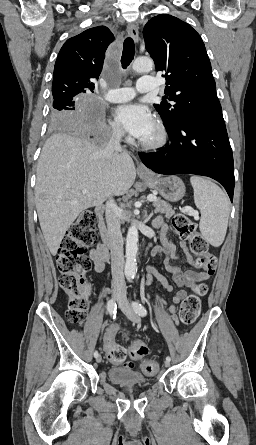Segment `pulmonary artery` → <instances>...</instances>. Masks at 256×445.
Returning <instances> with one entry per match:
<instances>
[{
  "mask_svg": "<svg viewBox=\"0 0 256 445\" xmlns=\"http://www.w3.org/2000/svg\"><path fill=\"white\" fill-rule=\"evenodd\" d=\"M155 88L156 81L152 76L141 77L136 85V90L139 93L152 92ZM135 94V91L129 87L116 88L109 91L106 99L112 103H122L133 99Z\"/></svg>",
  "mask_w": 256,
  "mask_h": 445,
  "instance_id": "1",
  "label": "pulmonary artery"
}]
</instances>
